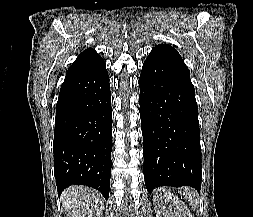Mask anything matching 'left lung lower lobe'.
<instances>
[{
    "instance_id": "0a47b994",
    "label": "left lung lower lobe",
    "mask_w": 253,
    "mask_h": 217,
    "mask_svg": "<svg viewBox=\"0 0 253 217\" xmlns=\"http://www.w3.org/2000/svg\"><path fill=\"white\" fill-rule=\"evenodd\" d=\"M147 191L160 186L201 189V147L190 74L150 53L139 78Z\"/></svg>"
}]
</instances>
